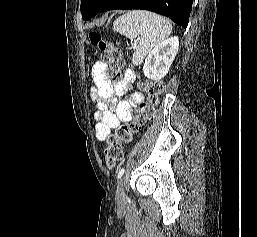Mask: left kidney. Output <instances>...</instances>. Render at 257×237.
Segmentation results:
<instances>
[{"mask_svg": "<svg viewBox=\"0 0 257 237\" xmlns=\"http://www.w3.org/2000/svg\"><path fill=\"white\" fill-rule=\"evenodd\" d=\"M179 47L178 37H171L160 43L147 56L143 72L152 80L158 81L168 73Z\"/></svg>", "mask_w": 257, "mask_h": 237, "instance_id": "obj_1", "label": "left kidney"}]
</instances>
